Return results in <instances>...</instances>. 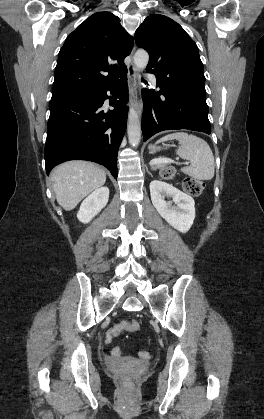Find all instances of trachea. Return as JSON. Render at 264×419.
<instances>
[{
  "mask_svg": "<svg viewBox=\"0 0 264 419\" xmlns=\"http://www.w3.org/2000/svg\"><path fill=\"white\" fill-rule=\"evenodd\" d=\"M142 81H144L145 83H147L145 80L142 79Z\"/></svg>",
  "mask_w": 264,
  "mask_h": 419,
  "instance_id": "trachea-1",
  "label": "trachea"
}]
</instances>
